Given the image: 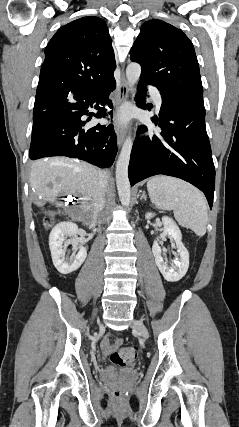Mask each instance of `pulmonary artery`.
<instances>
[{
	"label": "pulmonary artery",
	"mask_w": 239,
	"mask_h": 427,
	"mask_svg": "<svg viewBox=\"0 0 239 427\" xmlns=\"http://www.w3.org/2000/svg\"><path fill=\"white\" fill-rule=\"evenodd\" d=\"M148 90L150 91L151 95L153 96L157 106L161 107L162 99H161L159 91L154 86H151V85L148 86Z\"/></svg>",
	"instance_id": "pulmonary-artery-1"
}]
</instances>
